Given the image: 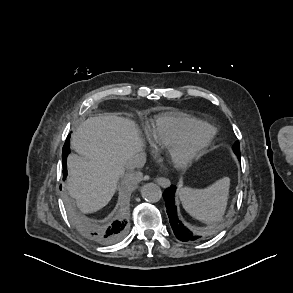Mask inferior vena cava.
<instances>
[{"label": "inferior vena cava", "mask_w": 293, "mask_h": 293, "mask_svg": "<svg viewBox=\"0 0 293 293\" xmlns=\"http://www.w3.org/2000/svg\"><path fill=\"white\" fill-rule=\"evenodd\" d=\"M146 163V156L144 154H136L131 157L127 162L128 168H141Z\"/></svg>", "instance_id": "inferior-vena-cava-1"}]
</instances>
